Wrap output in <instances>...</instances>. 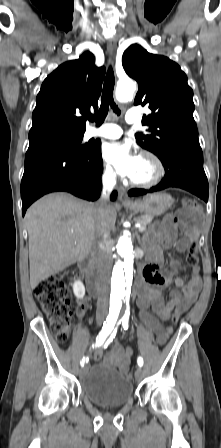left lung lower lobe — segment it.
I'll return each instance as SVG.
<instances>
[{
    "mask_svg": "<svg viewBox=\"0 0 221 448\" xmlns=\"http://www.w3.org/2000/svg\"><path fill=\"white\" fill-rule=\"evenodd\" d=\"M160 160L165 168L162 181L150 190L132 189L128 192L129 196L178 187L208 201V181L203 169L201 149H177Z\"/></svg>",
    "mask_w": 221,
    "mask_h": 448,
    "instance_id": "1",
    "label": "left lung lower lobe"
}]
</instances>
